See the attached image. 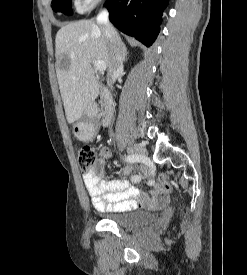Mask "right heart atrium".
Masks as SVG:
<instances>
[{
    "label": "right heart atrium",
    "instance_id": "d8ad5b80",
    "mask_svg": "<svg viewBox=\"0 0 247 275\" xmlns=\"http://www.w3.org/2000/svg\"><path fill=\"white\" fill-rule=\"evenodd\" d=\"M104 0H74V8L78 13L90 10Z\"/></svg>",
    "mask_w": 247,
    "mask_h": 275
}]
</instances>
